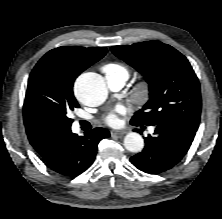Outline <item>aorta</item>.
I'll return each instance as SVG.
<instances>
[{
    "label": "aorta",
    "mask_w": 222,
    "mask_h": 219,
    "mask_svg": "<svg viewBox=\"0 0 222 219\" xmlns=\"http://www.w3.org/2000/svg\"><path fill=\"white\" fill-rule=\"evenodd\" d=\"M75 93L80 101L88 106L102 104L108 95L103 78L96 73L80 75L75 82ZM124 147L130 152H141L144 147V140L140 134L130 132L124 138Z\"/></svg>",
    "instance_id": "obj_1"
}]
</instances>
